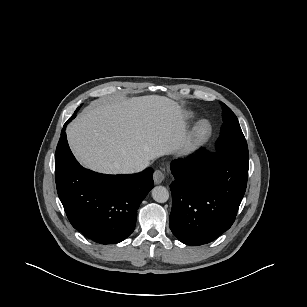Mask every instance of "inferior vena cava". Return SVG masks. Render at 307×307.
I'll use <instances>...</instances> for the list:
<instances>
[{
  "label": "inferior vena cava",
  "instance_id": "602c4592",
  "mask_svg": "<svg viewBox=\"0 0 307 307\" xmlns=\"http://www.w3.org/2000/svg\"><path fill=\"white\" fill-rule=\"evenodd\" d=\"M147 167V164H136V165H129L123 168V173H136L144 170Z\"/></svg>",
  "mask_w": 307,
  "mask_h": 307
}]
</instances>
